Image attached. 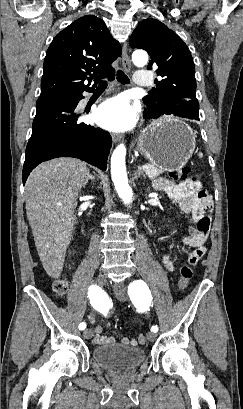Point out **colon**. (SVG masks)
I'll return each mask as SVG.
<instances>
[{
	"label": "colon",
	"mask_w": 243,
	"mask_h": 409,
	"mask_svg": "<svg viewBox=\"0 0 243 409\" xmlns=\"http://www.w3.org/2000/svg\"><path fill=\"white\" fill-rule=\"evenodd\" d=\"M190 172L191 170L189 167H182L172 171L170 177L176 181L189 179L192 183L198 184L199 176H190ZM192 276V268L189 265L184 264L180 268V278L178 281V289L180 291L186 290ZM67 288L68 284L65 280H57L53 285V291L59 297L66 293ZM138 341L140 344H144L146 342V336L144 334L139 335Z\"/></svg>",
	"instance_id": "colon-1"
}]
</instances>
